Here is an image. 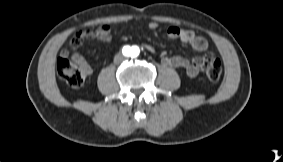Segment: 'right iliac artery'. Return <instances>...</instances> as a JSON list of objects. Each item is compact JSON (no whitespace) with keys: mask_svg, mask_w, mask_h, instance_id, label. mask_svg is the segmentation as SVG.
<instances>
[{"mask_svg":"<svg viewBox=\"0 0 283 162\" xmlns=\"http://www.w3.org/2000/svg\"><path fill=\"white\" fill-rule=\"evenodd\" d=\"M122 52L124 55H129L130 52H131V49L129 46H124L123 49H122Z\"/></svg>","mask_w":283,"mask_h":162,"instance_id":"right-iliac-artery-1","label":"right iliac artery"}]
</instances>
